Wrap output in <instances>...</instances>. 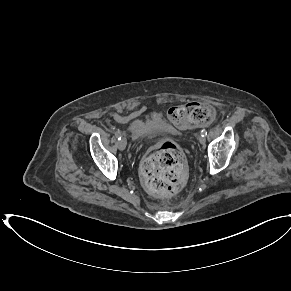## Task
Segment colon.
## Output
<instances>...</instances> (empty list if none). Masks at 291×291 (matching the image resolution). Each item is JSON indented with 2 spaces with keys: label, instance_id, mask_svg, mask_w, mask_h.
Segmentation results:
<instances>
[{
  "label": "colon",
  "instance_id": "5ec220e1",
  "mask_svg": "<svg viewBox=\"0 0 291 291\" xmlns=\"http://www.w3.org/2000/svg\"><path fill=\"white\" fill-rule=\"evenodd\" d=\"M214 115L213 107L202 102L176 105L167 111L168 119L182 129L209 124L214 119ZM140 173L143 186L150 194L174 193L185 182L184 154L174 143L162 142L143 160Z\"/></svg>",
  "mask_w": 291,
  "mask_h": 291
}]
</instances>
